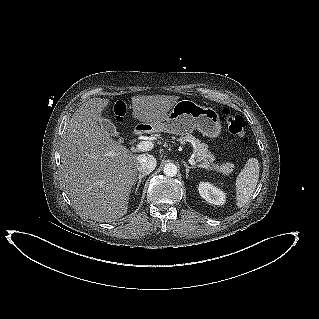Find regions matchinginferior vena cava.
<instances>
[{"instance_id":"obj_1","label":"inferior vena cava","mask_w":319,"mask_h":319,"mask_svg":"<svg viewBox=\"0 0 319 319\" xmlns=\"http://www.w3.org/2000/svg\"><path fill=\"white\" fill-rule=\"evenodd\" d=\"M138 167L137 170L143 174H150L156 167L157 161L153 155H140L138 157Z\"/></svg>"}]
</instances>
